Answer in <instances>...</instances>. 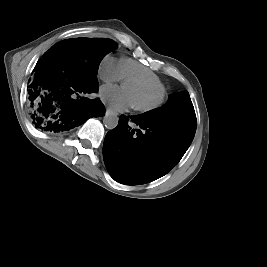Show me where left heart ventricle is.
Instances as JSON below:
<instances>
[{
	"instance_id": "left-heart-ventricle-1",
	"label": "left heart ventricle",
	"mask_w": 267,
	"mask_h": 267,
	"mask_svg": "<svg viewBox=\"0 0 267 267\" xmlns=\"http://www.w3.org/2000/svg\"><path fill=\"white\" fill-rule=\"evenodd\" d=\"M125 88L130 92L133 103L136 105H146L153 102L158 93L150 86L137 83V82H126Z\"/></svg>"
}]
</instances>
